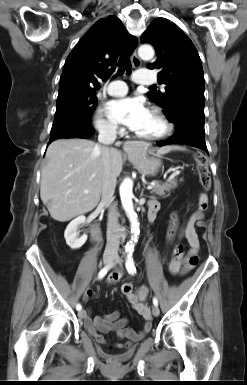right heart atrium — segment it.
Listing matches in <instances>:
<instances>
[{
    "label": "right heart atrium",
    "instance_id": "d8ad5b80",
    "mask_svg": "<svg viewBox=\"0 0 247 385\" xmlns=\"http://www.w3.org/2000/svg\"><path fill=\"white\" fill-rule=\"evenodd\" d=\"M95 125L100 133L115 135L119 132L118 126L109 120L102 109H99L95 117Z\"/></svg>",
    "mask_w": 247,
    "mask_h": 385
}]
</instances>
